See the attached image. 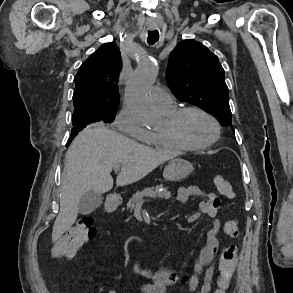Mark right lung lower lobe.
Returning <instances> with one entry per match:
<instances>
[{
    "label": "right lung lower lobe",
    "instance_id": "98d812e1",
    "mask_svg": "<svg viewBox=\"0 0 293 293\" xmlns=\"http://www.w3.org/2000/svg\"><path fill=\"white\" fill-rule=\"evenodd\" d=\"M83 128H77V127H74L72 129V132H71V136L67 142V147L69 146V144L71 143V141L75 138V136L82 130Z\"/></svg>",
    "mask_w": 293,
    "mask_h": 293
}]
</instances>
